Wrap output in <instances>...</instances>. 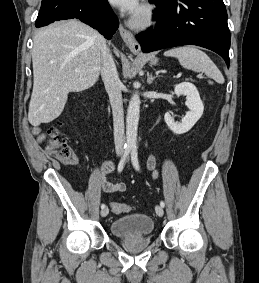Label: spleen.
Listing matches in <instances>:
<instances>
[{"mask_svg":"<svg viewBox=\"0 0 259 283\" xmlns=\"http://www.w3.org/2000/svg\"><path fill=\"white\" fill-rule=\"evenodd\" d=\"M164 55L177 58L181 66L186 69L204 72L217 83H224V77L213 61L203 51L194 46L170 49Z\"/></svg>","mask_w":259,"mask_h":283,"instance_id":"spleen-1","label":"spleen"}]
</instances>
